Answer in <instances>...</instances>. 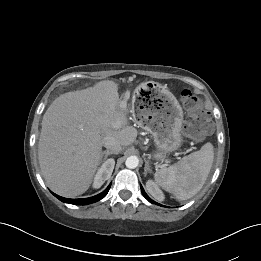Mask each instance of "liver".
I'll return each mask as SVG.
<instances>
[{"mask_svg": "<svg viewBox=\"0 0 261 261\" xmlns=\"http://www.w3.org/2000/svg\"><path fill=\"white\" fill-rule=\"evenodd\" d=\"M126 114L113 81L56 98L43 116L38 143L48 187L66 197L86 192L101 163L104 138L112 136L122 146L136 140L137 130L127 125Z\"/></svg>", "mask_w": 261, "mask_h": 261, "instance_id": "obj_1", "label": "liver"}]
</instances>
